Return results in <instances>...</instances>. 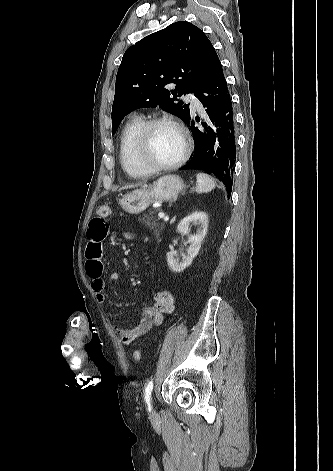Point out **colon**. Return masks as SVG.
<instances>
[{"label": "colon", "mask_w": 333, "mask_h": 471, "mask_svg": "<svg viewBox=\"0 0 333 471\" xmlns=\"http://www.w3.org/2000/svg\"><path fill=\"white\" fill-rule=\"evenodd\" d=\"M112 213V209L109 206H100L97 210V214L102 217H108ZM133 357L135 360L139 361L142 358V351L137 349L134 351Z\"/></svg>", "instance_id": "1"}]
</instances>
